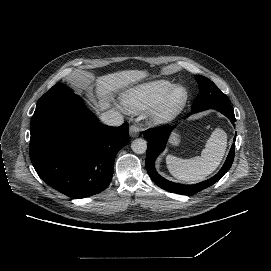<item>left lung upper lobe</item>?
I'll return each instance as SVG.
<instances>
[{
	"label": "left lung upper lobe",
	"instance_id": "5c2ea615",
	"mask_svg": "<svg viewBox=\"0 0 271 271\" xmlns=\"http://www.w3.org/2000/svg\"><path fill=\"white\" fill-rule=\"evenodd\" d=\"M195 77L200 92L197 95L191 110L216 109L233 111L229 99L211 80L201 75H196Z\"/></svg>",
	"mask_w": 271,
	"mask_h": 271
}]
</instances>
